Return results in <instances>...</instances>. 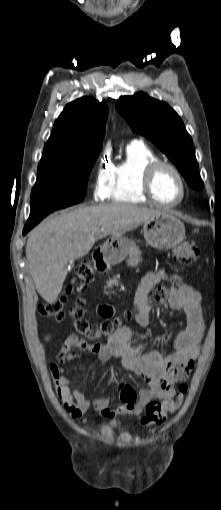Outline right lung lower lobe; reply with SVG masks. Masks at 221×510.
I'll use <instances>...</instances> for the list:
<instances>
[{
  "mask_svg": "<svg viewBox=\"0 0 221 510\" xmlns=\"http://www.w3.org/2000/svg\"><path fill=\"white\" fill-rule=\"evenodd\" d=\"M53 212V210H39L31 208L29 219L24 227L23 235L30 231L37 225L46 215Z\"/></svg>",
  "mask_w": 221,
  "mask_h": 510,
  "instance_id": "98d812e1",
  "label": "right lung lower lobe"
}]
</instances>
